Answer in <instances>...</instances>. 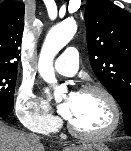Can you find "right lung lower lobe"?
Instances as JSON below:
<instances>
[{"mask_svg": "<svg viewBox=\"0 0 131 151\" xmlns=\"http://www.w3.org/2000/svg\"><path fill=\"white\" fill-rule=\"evenodd\" d=\"M13 109L0 108V117H5L12 112Z\"/></svg>", "mask_w": 131, "mask_h": 151, "instance_id": "obj_1", "label": "right lung lower lobe"}]
</instances>
